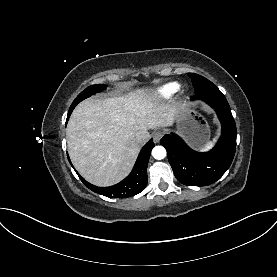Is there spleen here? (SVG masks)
<instances>
[{"instance_id":"obj_1","label":"spleen","mask_w":277,"mask_h":277,"mask_svg":"<svg viewBox=\"0 0 277 277\" xmlns=\"http://www.w3.org/2000/svg\"><path fill=\"white\" fill-rule=\"evenodd\" d=\"M215 141H216V138H214L213 141H210V142L206 143L205 146L202 148V151H207L210 148H212Z\"/></svg>"}]
</instances>
